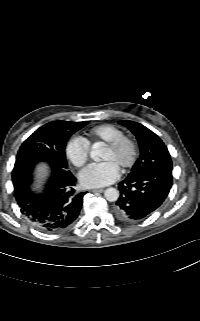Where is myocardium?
<instances>
[{
  "label": "myocardium",
  "instance_id": "f54148a6",
  "mask_svg": "<svg viewBox=\"0 0 200 321\" xmlns=\"http://www.w3.org/2000/svg\"><path fill=\"white\" fill-rule=\"evenodd\" d=\"M124 144H127L129 146L130 155L127 161L121 166V169L128 170L135 164L138 157V145L136 141L130 136L122 135L106 143L105 147L110 150H117Z\"/></svg>",
  "mask_w": 200,
  "mask_h": 321
}]
</instances>
